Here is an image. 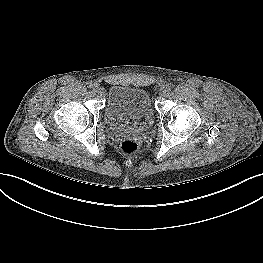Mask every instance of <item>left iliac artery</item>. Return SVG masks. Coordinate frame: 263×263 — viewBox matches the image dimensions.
<instances>
[{"instance_id": "obj_1", "label": "left iliac artery", "mask_w": 263, "mask_h": 263, "mask_svg": "<svg viewBox=\"0 0 263 263\" xmlns=\"http://www.w3.org/2000/svg\"><path fill=\"white\" fill-rule=\"evenodd\" d=\"M166 91H167V92L171 91V87H170V86H167V87H166Z\"/></svg>"}]
</instances>
